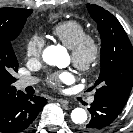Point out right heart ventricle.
I'll return each mask as SVG.
<instances>
[{"mask_svg": "<svg viewBox=\"0 0 133 133\" xmlns=\"http://www.w3.org/2000/svg\"><path fill=\"white\" fill-rule=\"evenodd\" d=\"M86 32L85 26L76 20L62 21L52 29V34L68 48L73 47Z\"/></svg>", "mask_w": 133, "mask_h": 133, "instance_id": "e07e8e85", "label": "right heart ventricle"}]
</instances>
